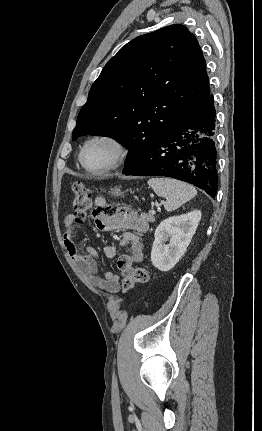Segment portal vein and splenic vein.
Returning <instances> with one entry per match:
<instances>
[{
  "label": "portal vein and splenic vein",
  "instance_id": "obj_1",
  "mask_svg": "<svg viewBox=\"0 0 262 431\" xmlns=\"http://www.w3.org/2000/svg\"><path fill=\"white\" fill-rule=\"evenodd\" d=\"M149 213L150 214H155V210L152 209V210L149 211Z\"/></svg>",
  "mask_w": 262,
  "mask_h": 431
}]
</instances>
